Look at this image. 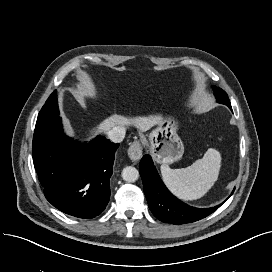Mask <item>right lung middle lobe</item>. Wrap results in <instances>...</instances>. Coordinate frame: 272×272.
I'll return each instance as SVG.
<instances>
[{
    "label": "right lung middle lobe",
    "instance_id": "right-lung-middle-lobe-1",
    "mask_svg": "<svg viewBox=\"0 0 272 272\" xmlns=\"http://www.w3.org/2000/svg\"><path fill=\"white\" fill-rule=\"evenodd\" d=\"M59 115V108L57 103V91H54L48 100L46 101L45 105L42 107L37 121L47 119L50 117H55Z\"/></svg>",
    "mask_w": 272,
    "mask_h": 272
}]
</instances>
